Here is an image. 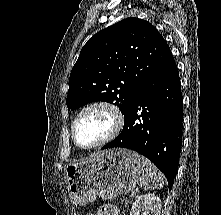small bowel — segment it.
<instances>
[{
  "label": "small bowel",
  "instance_id": "1",
  "mask_svg": "<svg viewBox=\"0 0 221 215\" xmlns=\"http://www.w3.org/2000/svg\"><path fill=\"white\" fill-rule=\"evenodd\" d=\"M85 215H121L119 209L114 205H104L97 212H88Z\"/></svg>",
  "mask_w": 221,
  "mask_h": 215
}]
</instances>
